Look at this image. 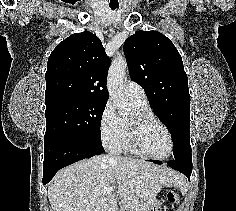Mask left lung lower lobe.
I'll list each match as a JSON object with an SVG mask.
<instances>
[{"label":"left lung lower lobe","mask_w":236,"mask_h":211,"mask_svg":"<svg viewBox=\"0 0 236 211\" xmlns=\"http://www.w3.org/2000/svg\"><path fill=\"white\" fill-rule=\"evenodd\" d=\"M152 162L156 164H162V162L159 161H152ZM168 166L178 170L179 172L183 173L188 178H190L192 172V159H186V160L174 159L168 162Z\"/></svg>","instance_id":"0a47b994"}]
</instances>
